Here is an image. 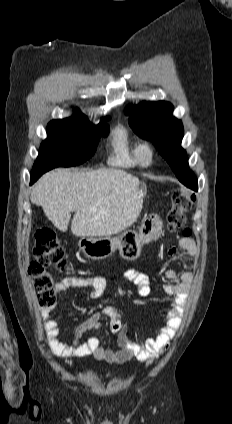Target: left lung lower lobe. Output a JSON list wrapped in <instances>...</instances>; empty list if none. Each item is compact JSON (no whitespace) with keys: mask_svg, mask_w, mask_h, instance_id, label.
<instances>
[{"mask_svg":"<svg viewBox=\"0 0 232 424\" xmlns=\"http://www.w3.org/2000/svg\"><path fill=\"white\" fill-rule=\"evenodd\" d=\"M180 182H182L185 186H187V187H189L193 190L198 189L197 179H196L194 174L191 175V176H188L186 178L181 179Z\"/></svg>","mask_w":232,"mask_h":424,"instance_id":"left-lung-lower-lobe-1","label":"left lung lower lobe"}]
</instances>
